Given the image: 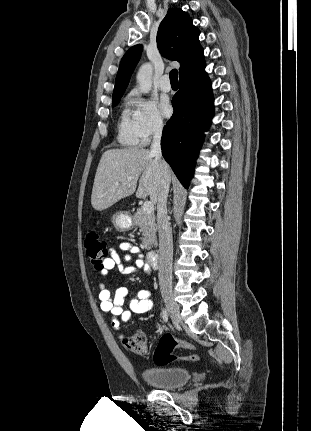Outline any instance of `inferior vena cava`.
Returning <instances> with one entry per match:
<instances>
[{"label": "inferior vena cava", "mask_w": 311, "mask_h": 431, "mask_svg": "<svg viewBox=\"0 0 311 431\" xmlns=\"http://www.w3.org/2000/svg\"><path fill=\"white\" fill-rule=\"evenodd\" d=\"M163 124L161 120L156 122L153 132V140L150 146V154H153L158 164L162 162L161 138ZM169 182L161 174L159 194L157 198V223L159 233V285L161 295H170L172 291V259L173 239L172 231L167 219V198L169 194Z\"/></svg>", "instance_id": "obj_1"}]
</instances>
